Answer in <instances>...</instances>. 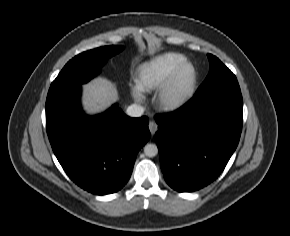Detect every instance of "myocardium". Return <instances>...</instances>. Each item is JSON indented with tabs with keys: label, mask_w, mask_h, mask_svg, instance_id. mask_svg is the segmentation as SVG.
<instances>
[{
	"label": "myocardium",
	"mask_w": 290,
	"mask_h": 236,
	"mask_svg": "<svg viewBox=\"0 0 290 236\" xmlns=\"http://www.w3.org/2000/svg\"><path fill=\"white\" fill-rule=\"evenodd\" d=\"M186 70H190V78L183 89L177 90L179 79ZM197 84L198 72L195 65L185 61L176 68L168 81L157 91L154 98L155 103L162 111H176L193 97Z\"/></svg>",
	"instance_id": "1"
}]
</instances>
